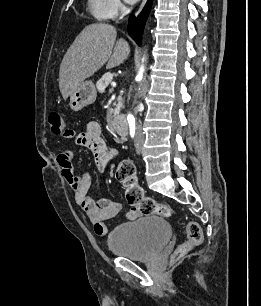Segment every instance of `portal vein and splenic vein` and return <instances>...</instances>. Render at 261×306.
Segmentation results:
<instances>
[{
  "instance_id": "obj_1",
  "label": "portal vein and splenic vein",
  "mask_w": 261,
  "mask_h": 306,
  "mask_svg": "<svg viewBox=\"0 0 261 306\" xmlns=\"http://www.w3.org/2000/svg\"><path fill=\"white\" fill-rule=\"evenodd\" d=\"M111 85H112L113 87H115V86H116V83H115V82H112Z\"/></svg>"
}]
</instances>
